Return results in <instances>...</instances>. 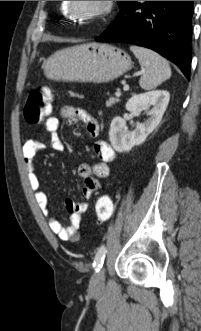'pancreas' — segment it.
I'll use <instances>...</instances> for the list:
<instances>
[{
	"instance_id": "cf45deb5",
	"label": "pancreas",
	"mask_w": 201,
	"mask_h": 331,
	"mask_svg": "<svg viewBox=\"0 0 201 331\" xmlns=\"http://www.w3.org/2000/svg\"><path fill=\"white\" fill-rule=\"evenodd\" d=\"M119 100V96L116 97H110L107 101H106V106L107 107H111L112 105L118 103Z\"/></svg>"
}]
</instances>
